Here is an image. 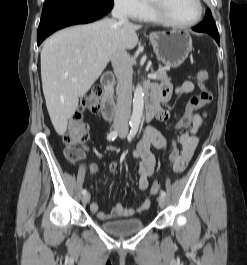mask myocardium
I'll return each instance as SVG.
<instances>
[{"label":"myocardium","mask_w":247,"mask_h":265,"mask_svg":"<svg viewBox=\"0 0 247 265\" xmlns=\"http://www.w3.org/2000/svg\"><path fill=\"white\" fill-rule=\"evenodd\" d=\"M164 0H158V1H154V0H148V4H149V9L150 12L152 13V15L155 17V19L172 28H177V29H186V28H190L195 26L196 24H198L203 15H204V5L202 0H197V4H198V14L197 16L190 22L187 23H178L174 20H172L166 10H165V6H164Z\"/></svg>","instance_id":"1"}]
</instances>
